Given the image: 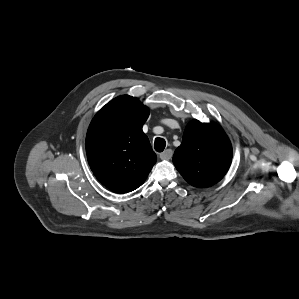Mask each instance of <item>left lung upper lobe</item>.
Wrapping results in <instances>:
<instances>
[{"instance_id":"5c2ea615","label":"left lung upper lobe","mask_w":299,"mask_h":299,"mask_svg":"<svg viewBox=\"0 0 299 299\" xmlns=\"http://www.w3.org/2000/svg\"><path fill=\"white\" fill-rule=\"evenodd\" d=\"M232 156L231 142L218 125L193 120L186 126L173 163L190 185L209 187L224 177Z\"/></svg>"}]
</instances>
